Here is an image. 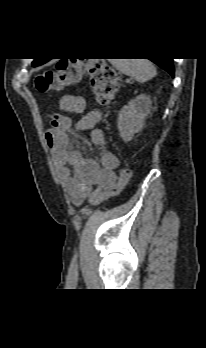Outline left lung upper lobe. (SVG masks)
Here are the masks:
<instances>
[{
  "label": "left lung upper lobe",
  "instance_id": "left-lung-upper-lobe-1",
  "mask_svg": "<svg viewBox=\"0 0 206 348\" xmlns=\"http://www.w3.org/2000/svg\"><path fill=\"white\" fill-rule=\"evenodd\" d=\"M46 61L45 60H40V59H35L33 62H32V66H39L43 63H45Z\"/></svg>",
  "mask_w": 206,
  "mask_h": 348
}]
</instances>
